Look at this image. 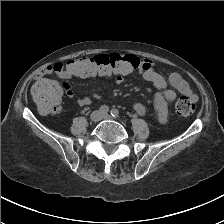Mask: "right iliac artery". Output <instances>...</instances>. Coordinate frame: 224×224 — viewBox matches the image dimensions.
Here are the masks:
<instances>
[{"instance_id":"1","label":"right iliac artery","mask_w":224,"mask_h":224,"mask_svg":"<svg viewBox=\"0 0 224 224\" xmlns=\"http://www.w3.org/2000/svg\"><path fill=\"white\" fill-rule=\"evenodd\" d=\"M99 111H100L102 114H106V113L109 111V107L106 106V105H102V106L99 108Z\"/></svg>"}]
</instances>
